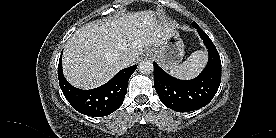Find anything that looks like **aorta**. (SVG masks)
<instances>
[{"instance_id":"1","label":"aorta","mask_w":276,"mask_h":138,"mask_svg":"<svg viewBox=\"0 0 276 138\" xmlns=\"http://www.w3.org/2000/svg\"><path fill=\"white\" fill-rule=\"evenodd\" d=\"M142 74H151L154 70L153 63L150 60H143L138 66Z\"/></svg>"}]
</instances>
